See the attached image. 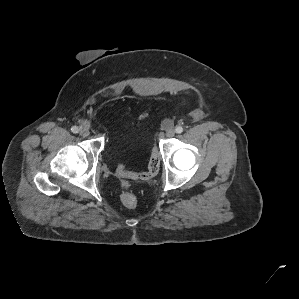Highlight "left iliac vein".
I'll return each mask as SVG.
<instances>
[{
	"label": "left iliac vein",
	"instance_id": "1",
	"mask_svg": "<svg viewBox=\"0 0 299 299\" xmlns=\"http://www.w3.org/2000/svg\"><path fill=\"white\" fill-rule=\"evenodd\" d=\"M175 135V130L174 129H168L167 131H166V136L168 137V138H172L173 136Z\"/></svg>",
	"mask_w": 299,
	"mask_h": 299
}]
</instances>
